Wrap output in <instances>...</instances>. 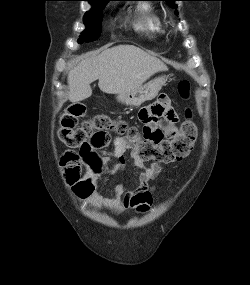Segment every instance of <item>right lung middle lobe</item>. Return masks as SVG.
Segmentation results:
<instances>
[{
    "label": "right lung middle lobe",
    "instance_id": "right-lung-middle-lobe-1",
    "mask_svg": "<svg viewBox=\"0 0 250 285\" xmlns=\"http://www.w3.org/2000/svg\"><path fill=\"white\" fill-rule=\"evenodd\" d=\"M93 8L86 12L84 16V23L86 25V30L82 32L79 38V44L84 42H92L99 38L101 33V25L103 14L102 11L106 6L107 2L101 3H91Z\"/></svg>",
    "mask_w": 250,
    "mask_h": 285
}]
</instances>
